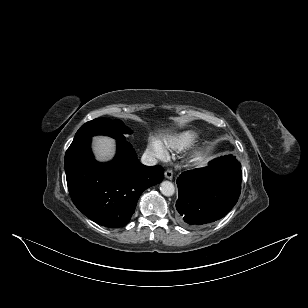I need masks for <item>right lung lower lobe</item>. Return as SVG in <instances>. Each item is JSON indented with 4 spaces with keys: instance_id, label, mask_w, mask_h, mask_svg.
Here are the masks:
<instances>
[{
    "instance_id": "right-lung-lower-lobe-1",
    "label": "right lung lower lobe",
    "mask_w": 308,
    "mask_h": 308,
    "mask_svg": "<svg viewBox=\"0 0 308 308\" xmlns=\"http://www.w3.org/2000/svg\"><path fill=\"white\" fill-rule=\"evenodd\" d=\"M91 137L74 140L65 154L64 168L71 199L94 222L118 228L127 224L141 193L163 180L161 166L141 164L131 144L117 140L109 163L94 160Z\"/></svg>"
}]
</instances>
